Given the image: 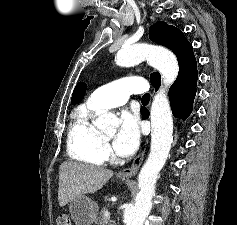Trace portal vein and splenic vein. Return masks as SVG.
Here are the masks:
<instances>
[{"instance_id": "obj_1", "label": "portal vein and splenic vein", "mask_w": 237, "mask_h": 225, "mask_svg": "<svg viewBox=\"0 0 237 225\" xmlns=\"http://www.w3.org/2000/svg\"><path fill=\"white\" fill-rule=\"evenodd\" d=\"M104 216H105L106 218H109V217H110V213H109L108 209H105V210H104Z\"/></svg>"}]
</instances>
